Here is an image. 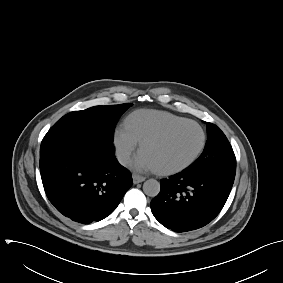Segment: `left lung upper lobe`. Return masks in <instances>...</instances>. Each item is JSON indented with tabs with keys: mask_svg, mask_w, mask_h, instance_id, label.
<instances>
[{
	"mask_svg": "<svg viewBox=\"0 0 283 283\" xmlns=\"http://www.w3.org/2000/svg\"><path fill=\"white\" fill-rule=\"evenodd\" d=\"M205 149L201 156L188 168V173H223L235 176L236 158L232 147L219 127L207 123Z\"/></svg>",
	"mask_w": 283,
	"mask_h": 283,
	"instance_id": "left-lung-upper-lobe-1",
	"label": "left lung upper lobe"
}]
</instances>
